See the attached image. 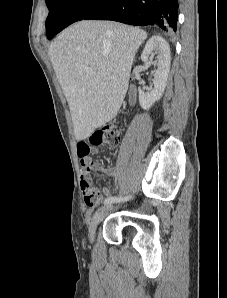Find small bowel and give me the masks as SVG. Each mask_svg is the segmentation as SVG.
Instances as JSON below:
<instances>
[{
  "mask_svg": "<svg viewBox=\"0 0 227 298\" xmlns=\"http://www.w3.org/2000/svg\"><path fill=\"white\" fill-rule=\"evenodd\" d=\"M98 147L97 146H89V142H78L77 146V154L78 158L80 159L81 166H82V176H81V186L84 192V185L86 184L91 191H93L95 194L98 195L99 200L100 199H107L111 195V190L107 187L102 189V194H100V191L97 188L90 186V178H89V170L103 172L107 176L114 179V182L117 177V168L115 167H104L99 162H91L90 161V155H95L97 153ZM89 207H94L95 205H89Z\"/></svg>",
  "mask_w": 227,
  "mask_h": 298,
  "instance_id": "small-bowel-1",
  "label": "small bowel"
}]
</instances>
